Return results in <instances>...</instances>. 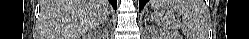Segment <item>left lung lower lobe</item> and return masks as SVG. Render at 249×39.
Instances as JSON below:
<instances>
[{
	"label": "left lung lower lobe",
	"mask_w": 249,
	"mask_h": 39,
	"mask_svg": "<svg viewBox=\"0 0 249 39\" xmlns=\"http://www.w3.org/2000/svg\"><path fill=\"white\" fill-rule=\"evenodd\" d=\"M148 0H140L139 2V11H141V9L144 7V5L146 4Z\"/></svg>",
	"instance_id": "obj_1"
}]
</instances>
